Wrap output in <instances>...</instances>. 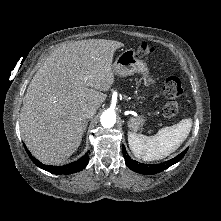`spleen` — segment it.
I'll list each match as a JSON object with an SVG mask.
<instances>
[{
    "instance_id": "spleen-1",
    "label": "spleen",
    "mask_w": 221,
    "mask_h": 221,
    "mask_svg": "<svg viewBox=\"0 0 221 221\" xmlns=\"http://www.w3.org/2000/svg\"><path fill=\"white\" fill-rule=\"evenodd\" d=\"M192 119H182L178 124L160 129L153 136L128 132V143L135 157L144 161L163 159L176 151L188 137Z\"/></svg>"
}]
</instances>
